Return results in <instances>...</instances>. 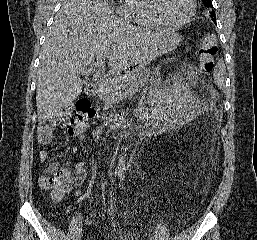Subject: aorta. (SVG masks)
Listing matches in <instances>:
<instances>
[{
  "label": "aorta",
  "mask_w": 257,
  "mask_h": 240,
  "mask_svg": "<svg viewBox=\"0 0 257 240\" xmlns=\"http://www.w3.org/2000/svg\"><path fill=\"white\" fill-rule=\"evenodd\" d=\"M126 155H127L126 152H123L119 157L117 170H118V176L120 178H124V174L126 172Z\"/></svg>",
  "instance_id": "aorta-1"
}]
</instances>
